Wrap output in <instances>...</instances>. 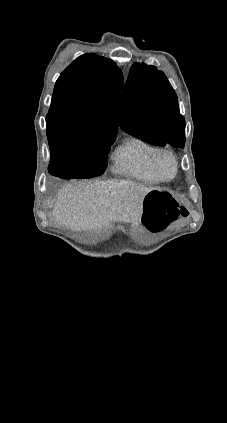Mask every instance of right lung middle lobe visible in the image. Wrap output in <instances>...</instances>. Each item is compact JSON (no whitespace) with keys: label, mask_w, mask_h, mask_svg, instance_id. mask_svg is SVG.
<instances>
[{"label":"right lung middle lobe","mask_w":227,"mask_h":423,"mask_svg":"<svg viewBox=\"0 0 227 423\" xmlns=\"http://www.w3.org/2000/svg\"><path fill=\"white\" fill-rule=\"evenodd\" d=\"M116 136L70 137L49 141L50 163H62L73 168L72 178H93L104 173L107 156Z\"/></svg>","instance_id":"right-lung-middle-lobe-1"}]
</instances>
